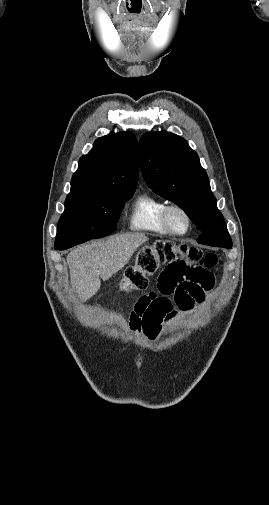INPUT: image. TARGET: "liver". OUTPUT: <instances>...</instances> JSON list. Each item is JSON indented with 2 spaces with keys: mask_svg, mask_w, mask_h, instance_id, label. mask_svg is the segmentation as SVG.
<instances>
[{
  "mask_svg": "<svg viewBox=\"0 0 269 505\" xmlns=\"http://www.w3.org/2000/svg\"><path fill=\"white\" fill-rule=\"evenodd\" d=\"M148 237L141 233H127L105 241L82 245L67 256L71 285L80 299L88 300L101 286L100 277L108 280L121 270L133 253Z\"/></svg>",
  "mask_w": 269,
  "mask_h": 505,
  "instance_id": "liver-1",
  "label": "liver"
}]
</instances>
